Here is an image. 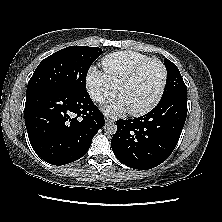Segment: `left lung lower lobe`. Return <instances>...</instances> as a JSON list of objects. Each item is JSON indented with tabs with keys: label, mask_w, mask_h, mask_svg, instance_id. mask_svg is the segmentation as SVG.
Returning <instances> with one entry per match:
<instances>
[{
	"label": "left lung lower lobe",
	"mask_w": 222,
	"mask_h": 222,
	"mask_svg": "<svg viewBox=\"0 0 222 222\" xmlns=\"http://www.w3.org/2000/svg\"><path fill=\"white\" fill-rule=\"evenodd\" d=\"M187 116V97L162 100L144 116L117 120L112 150L123 164L139 170L154 168L172 153Z\"/></svg>",
	"instance_id": "left-lung-lower-lobe-1"
}]
</instances>
